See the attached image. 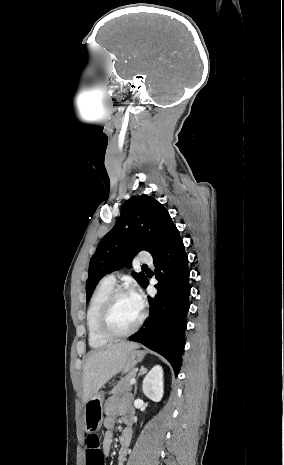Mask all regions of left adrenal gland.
I'll list each match as a JSON object with an SVG mask.
<instances>
[{"label":"left adrenal gland","mask_w":284,"mask_h":465,"mask_svg":"<svg viewBox=\"0 0 284 465\" xmlns=\"http://www.w3.org/2000/svg\"><path fill=\"white\" fill-rule=\"evenodd\" d=\"M145 373H147V369H145V367H141L138 377H140V375H145ZM138 377H137V381H138ZM137 381H136V383L134 385V387H135V389H134V397H135V395L137 393Z\"/></svg>","instance_id":"left-adrenal-gland-1"}]
</instances>
